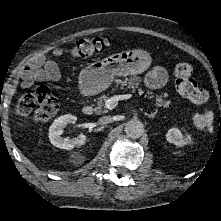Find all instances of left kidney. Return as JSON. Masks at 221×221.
Listing matches in <instances>:
<instances>
[{"instance_id":"5707ae66","label":"left kidney","mask_w":221,"mask_h":221,"mask_svg":"<svg viewBox=\"0 0 221 221\" xmlns=\"http://www.w3.org/2000/svg\"><path fill=\"white\" fill-rule=\"evenodd\" d=\"M166 139L169 143H173L178 147L184 146L191 142L190 136H184L178 128L169 129L166 134Z\"/></svg>"}]
</instances>
